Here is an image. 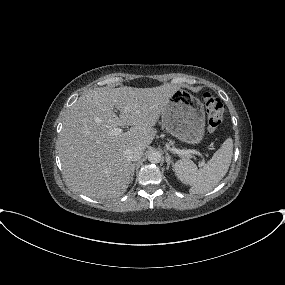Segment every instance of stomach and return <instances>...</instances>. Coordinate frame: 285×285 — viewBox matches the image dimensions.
<instances>
[{
	"mask_svg": "<svg viewBox=\"0 0 285 285\" xmlns=\"http://www.w3.org/2000/svg\"><path fill=\"white\" fill-rule=\"evenodd\" d=\"M162 125L182 142L198 144L205 132V111L202 102L189 92L178 89L169 98L162 112Z\"/></svg>",
	"mask_w": 285,
	"mask_h": 285,
	"instance_id": "stomach-1",
	"label": "stomach"
}]
</instances>
